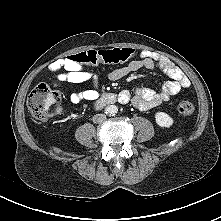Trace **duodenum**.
<instances>
[{"instance_id":"obj_1","label":"duodenum","mask_w":221,"mask_h":221,"mask_svg":"<svg viewBox=\"0 0 221 221\" xmlns=\"http://www.w3.org/2000/svg\"><path fill=\"white\" fill-rule=\"evenodd\" d=\"M117 101H121V98L118 97L116 94L106 93L96 102L95 107L96 108H101V107H104L106 105L114 104Z\"/></svg>"}]
</instances>
